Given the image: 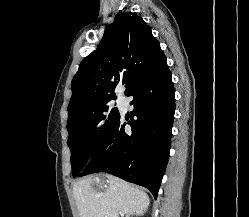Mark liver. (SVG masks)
<instances>
[{
    "mask_svg": "<svg viewBox=\"0 0 249 217\" xmlns=\"http://www.w3.org/2000/svg\"><path fill=\"white\" fill-rule=\"evenodd\" d=\"M73 194L80 217L143 215L150 203L144 191L120 178L104 174L76 182Z\"/></svg>",
    "mask_w": 249,
    "mask_h": 217,
    "instance_id": "obj_1",
    "label": "liver"
}]
</instances>
